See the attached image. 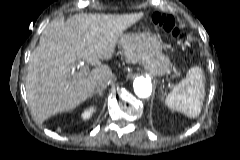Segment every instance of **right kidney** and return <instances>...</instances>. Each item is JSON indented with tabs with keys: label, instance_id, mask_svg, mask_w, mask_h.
<instances>
[{
	"label": "right kidney",
	"instance_id": "right-kidney-1",
	"mask_svg": "<svg viewBox=\"0 0 240 160\" xmlns=\"http://www.w3.org/2000/svg\"><path fill=\"white\" fill-rule=\"evenodd\" d=\"M94 111H95V108L94 107H90L89 109L85 110L82 113V118L83 119H89L92 116Z\"/></svg>",
	"mask_w": 240,
	"mask_h": 160
}]
</instances>
